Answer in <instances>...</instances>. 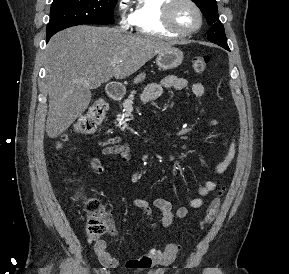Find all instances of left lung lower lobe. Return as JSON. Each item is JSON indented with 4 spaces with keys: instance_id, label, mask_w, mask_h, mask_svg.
Returning <instances> with one entry per match:
<instances>
[{
    "instance_id": "obj_1",
    "label": "left lung lower lobe",
    "mask_w": 289,
    "mask_h": 274,
    "mask_svg": "<svg viewBox=\"0 0 289 274\" xmlns=\"http://www.w3.org/2000/svg\"><path fill=\"white\" fill-rule=\"evenodd\" d=\"M225 49L229 50V47H226Z\"/></svg>"
}]
</instances>
